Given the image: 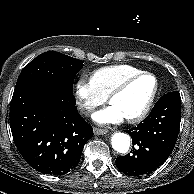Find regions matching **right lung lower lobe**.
Instances as JSON below:
<instances>
[{"label": "right lung lower lobe", "instance_id": "1", "mask_svg": "<svg viewBox=\"0 0 194 194\" xmlns=\"http://www.w3.org/2000/svg\"><path fill=\"white\" fill-rule=\"evenodd\" d=\"M72 93L40 84L16 87L10 104L14 143L39 172L63 175L75 168L92 127L80 116Z\"/></svg>", "mask_w": 194, "mask_h": 194}]
</instances>
